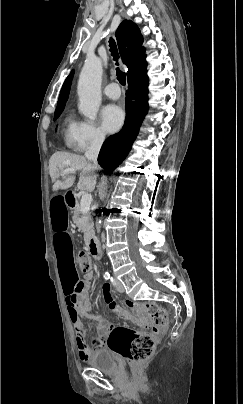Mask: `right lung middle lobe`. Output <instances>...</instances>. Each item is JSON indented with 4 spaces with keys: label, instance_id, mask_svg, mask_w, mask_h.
Here are the masks:
<instances>
[{
    "label": "right lung middle lobe",
    "instance_id": "1",
    "mask_svg": "<svg viewBox=\"0 0 243 404\" xmlns=\"http://www.w3.org/2000/svg\"><path fill=\"white\" fill-rule=\"evenodd\" d=\"M63 109H64V107H60V108H57V109L55 110L54 120H56V119L59 117V115L61 114V112L63 111Z\"/></svg>",
    "mask_w": 243,
    "mask_h": 404
}]
</instances>
